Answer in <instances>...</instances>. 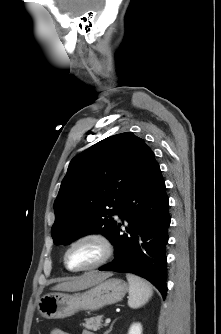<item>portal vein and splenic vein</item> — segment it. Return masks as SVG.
Returning a JSON list of instances; mask_svg holds the SVG:
<instances>
[{
	"instance_id": "portal-vein-and-splenic-vein-1",
	"label": "portal vein and splenic vein",
	"mask_w": 221,
	"mask_h": 334,
	"mask_svg": "<svg viewBox=\"0 0 221 334\" xmlns=\"http://www.w3.org/2000/svg\"><path fill=\"white\" fill-rule=\"evenodd\" d=\"M111 322V319L110 318H107L106 320H105V323H110Z\"/></svg>"
}]
</instances>
